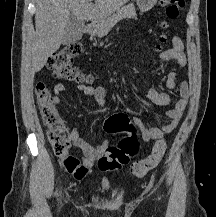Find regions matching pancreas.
Listing matches in <instances>:
<instances>
[{
	"mask_svg": "<svg viewBox=\"0 0 216 217\" xmlns=\"http://www.w3.org/2000/svg\"><path fill=\"white\" fill-rule=\"evenodd\" d=\"M126 18L136 19L135 6L132 3L121 7V9H118L116 13L99 21V24L96 26V34L99 37L106 35L108 31L111 29V27H113L118 21H120L121 19H126Z\"/></svg>",
	"mask_w": 216,
	"mask_h": 217,
	"instance_id": "cf45deb5",
	"label": "pancreas"
}]
</instances>
